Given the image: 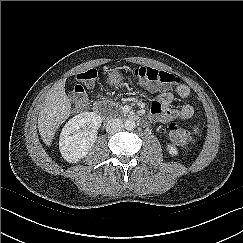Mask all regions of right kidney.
I'll return each mask as SVG.
<instances>
[{"label": "right kidney", "mask_w": 243, "mask_h": 243, "mask_svg": "<svg viewBox=\"0 0 243 243\" xmlns=\"http://www.w3.org/2000/svg\"><path fill=\"white\" fill-rule=\"evenodd\" d=\"M100 126L101 117L95 112H83L71 118L59 138L62 157L69 163L83 159L95 143Z\"/></svg>", "instance_id": "obj_1"}]
</instances>
